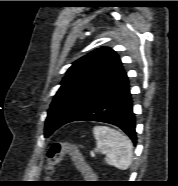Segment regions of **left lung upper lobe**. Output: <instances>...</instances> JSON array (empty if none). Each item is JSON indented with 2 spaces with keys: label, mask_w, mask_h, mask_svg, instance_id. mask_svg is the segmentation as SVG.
Masks as SVG:
<instances>
[{
  "label": "left lung upper lobe",
  "mask_w": 178,
  "mask_h": 186,
  "mask_svg": "<svg viewBox=\"0 0 178 186\" xmlns=\"http://www.w3.org/2000/svg\"><path fill=\"white\" fill-rule=\"evenodd\" d=\"M117 53L107 47L78 59L67 70L48 110L45 137L128 83Z\"/></svg>",
  "instance_id": "obj_1"
}]
</instances>
